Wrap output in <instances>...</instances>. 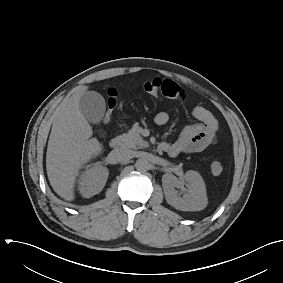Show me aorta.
<instances>
[{
  "mask_svg": "<svg viewBox=\"0 0 283 283\" xmlns=\"http://www.w3.org/2000/svg\"><path fill=\"white\" fill-rule=\"evenodd\" d=\"M135 168L138 171H146L149 168V162L147 159L140 158L135 162Z\"/></svg>",
  "mask_w": 283,
  "mask_h": 283,
  "instance_id": "762f6f07",
  "label": "aorta"
}]
</instances>
